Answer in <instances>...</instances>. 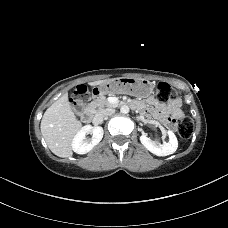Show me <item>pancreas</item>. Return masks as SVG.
I'll list each match as a JSON object with an SVG mask.
<instances>
[{"label": "pancreas", "instance_id": "cf45deb5", "mask_svg": "<svg viewBox=\"0 0 228 228\" xmlns=\"http://www.w3.org/2000/svg\"><path fill=\"white\" fill-rule=\"evenodd\" d=\"M97 113H100L105 110V108H114L117 105L111 104L104 96L97 98L96 100L92 101L89 105Z\"/></svg>", "mask_w": 228, "mask_h": 228}]
</instances>
